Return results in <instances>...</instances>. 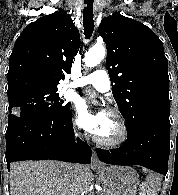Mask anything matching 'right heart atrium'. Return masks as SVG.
Wrapping results in <instances>:
<instances>
[{
  "label": "right heart atrium",
  "instance_id": "right-heart-atrium-1",
  "mask_svg": "<svg viewBox=\"0 0 178 195\" xmlns=\"http://www.w3.org/2000/svg\"><path fill=\"white\" fill-rule=\"evenodd\" d=\"M73 130H74L75 135L77 136L80 135V123L77 120L73 122Z\"/></svg>",
  "mask_w": 178,
  "mask_h": 195
}]
</instances>
